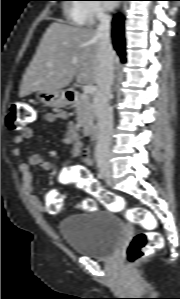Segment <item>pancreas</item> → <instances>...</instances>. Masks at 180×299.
Listing matches in <instances>:
<instances>
[{
  "label": "pancreas",
  "instance_id": "obj_1",
  "mask_svg": "<svg viewBox=\"0 0 180 299\" xmlns=\"http://www.w3.org/2000/svg\"><path fill=\"white\" fill-rule=\"evenodd\" d=\"M72 107L75 108L77 113L76 120L78 126L84 128L90 127L95 119L91 98L86 94L79 95L78 100L74 102Z\"/></svg>",
  "mask_w": 180,
  "mask_h": 299
}]
</instances>
